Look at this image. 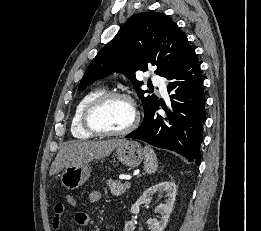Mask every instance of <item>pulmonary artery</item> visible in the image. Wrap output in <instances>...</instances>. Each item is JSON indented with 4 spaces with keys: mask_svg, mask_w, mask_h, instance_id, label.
Returning a JSON list of instances; mask_svg holds the SVG:
<instances>
[{
    "mask_svg": "<svg viewBox=\"0 0 261 231\" xmlns=\"http://www.w3.org/2000/svg\"><path fill=\"white\" fill-rule=\"evenodd\" d=\"M154 85L158 86L161 90V92L166 95L167 94V88H166V83L165 79L160 76V75H155L152 79Z\"/></svg>",
    "mask_w": 261,
    "mask_h": 231,
    "instance_id": "e3ab8cb5",
    "label": "pulmonary artery"
}]
</instances>
